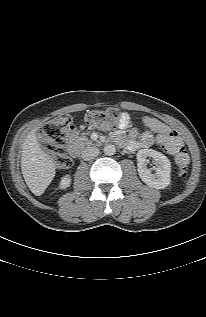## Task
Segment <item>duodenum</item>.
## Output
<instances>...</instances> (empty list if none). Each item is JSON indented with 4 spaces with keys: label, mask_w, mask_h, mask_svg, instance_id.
I'll list each match as a JSON object with an SVG mask.
<instances>
[{
    "label": "duodenum",
    "mask_w": 206,
    "mask_h": 317,
    "mask_svg": "<svg viewBox=\"0 0 206 317\" xmlns=\"http://www.w3.org/2000/svg\"><path fill=\"white\" fill-rule=\"evenodd\" d=\"M68 151L71 156L77 158L81 154V147L77 143L71 141L68 144Z\"/></svg>",
    "instance_id": "duodenum-1"
}]
</instances>
